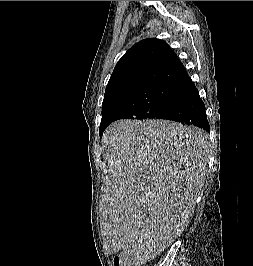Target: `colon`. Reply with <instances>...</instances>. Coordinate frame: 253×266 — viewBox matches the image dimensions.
Wrapping results in <instances>:
<instances>
[{
	"instance_id": "1",
	"label": "colon",
	"mask_w": 253,
	"mask_h": 266,
	"mask_svg": "<svg viewBox=\"0 0 253 266\" xmlns=\"http://www.w3.org/2000/svg\"><path fill=\"white\" fill-rule=\"evenodd\" d=\"M131 259L126 255H118L114 258L115 266H129Z\"/></svg>"
}]
</instances>
